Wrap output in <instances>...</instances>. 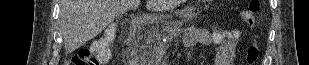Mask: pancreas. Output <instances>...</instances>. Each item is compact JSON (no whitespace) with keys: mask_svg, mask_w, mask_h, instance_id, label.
<instances>
[{"mask_svg":"<svg viewBox=\"0 0 309 65\" xmlns=\"http://www.w3.org/2000/svg\"><path fill=\"white\" fill-rule=\"evenodd\" d=\"M168 28H170V26L164 27L163 32L169 31ZM169 32H172V31L170 30ZM158 34H159V33H158V27H155V28H154L153 36H151V37H154V36L156 37V36H158ZM149 56L152 57V56H153V52H149Z\"/></svg>","mask_w":309,"mask_h":65,"instance_id":"obj_1","label":"pancreas"}]
</instances>
